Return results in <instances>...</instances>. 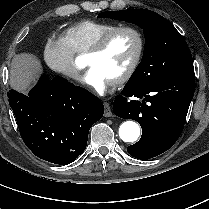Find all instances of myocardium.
Wrapping results in <instances>:
<instances>
[{
  "instance_id": "1",
  "label": "myocardium",
  "mask_w": 209,
  "mask_h": 209,
  "mask_svg": "<svg viewBox=\"0 0 209 209\" xmlns=\"http://www.w3.org/2000/svg\"><path fill=\"white\" fill-rule=\"evenodd\" d=\"M120 32H131L134 34L137 39V51L124 74L114 81L115 85L125 84L136 72L145 50V39L142 32L135 26L131 25L117 26L105 33L86 53V56L101 54L107 48L112 38Z\"/></svg>"
}]
</instances>
